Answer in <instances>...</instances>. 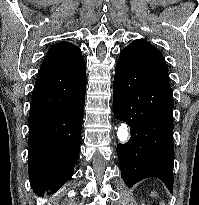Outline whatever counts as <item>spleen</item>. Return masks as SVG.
Wrapping results in <instances>:
<instances>
[{"label":"spleen","mask_w":199,"mask_h":205,"mask_svg":"<svg viewBox=\"0 0 199 205\" xmlns=\"http://www.w3.org/2000/svg\"><path fill=\"white\" fill-rule=\"evenodd\" d=\"M153 195L155 196L156 194H155V193H153ZM162 205H164V204H162Z\"/></svg>","instance_id":"spleen-1"}]
</instances>
